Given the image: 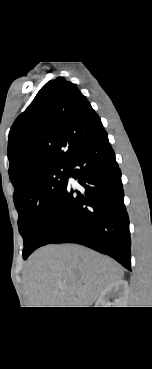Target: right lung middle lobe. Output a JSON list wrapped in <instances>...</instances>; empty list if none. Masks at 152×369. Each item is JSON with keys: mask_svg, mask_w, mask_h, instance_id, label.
<instances>
[{"mask_svg": "<svg viewBox=\"0 0 152 369\" xmlns=\"http://www.w3.org/2000/svg\"><path fill=\"white\" fill-rule=\"evenodd\" d=\"M67 183L68 165H58L36 174L13 196L19 213V231L24 239V259L40 247Z\"/></svg>", "mask_w": 152, "mask_h": 369, "instance_id": "obj_1", "label": "right lung middle lobe"}]
</instances>
